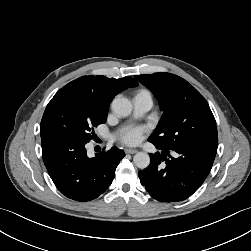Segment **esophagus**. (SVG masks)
<instances>
[{"label":"esophagus","mask_w":251,"mask_h":251,"mask_svg":"<svg viewBox=\"0 0 251 251\" xmlns=\"http://www.w3.org/2000/svg\"><path fill=\"white\" fill-rule=\"evenodd\" d=\"M137 152H138L137 149H131V148L125 149V153H127V154H135Z\"/></svg>","instance_id":"1"}]
</instances>
